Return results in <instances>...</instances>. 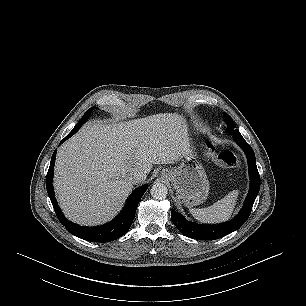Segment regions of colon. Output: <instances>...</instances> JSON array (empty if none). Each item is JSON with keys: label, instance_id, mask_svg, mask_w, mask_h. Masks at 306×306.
Instances as JSON below:
<instances>
[{"label": "colon", "instance_id": "colon-1", "mask_svg": "<svg viewBox=\"0 0 306 306\" xmlns=\"http://www.w3.org/2000/svg\"><path fill=\"white\" fill-rule=\"evenodd\" d=\"M206 156L221 167H237L242 164L241 157L233 150L229 148L217 150L212 143H208L206 146Z\"/></svg>", "mask_w": 306, "mask_h": 306}]
</instances>
